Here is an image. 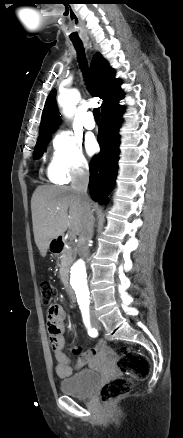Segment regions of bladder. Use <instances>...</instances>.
Segmentation results:
<instances>
[{
  "mask_svg": "<svg viewBox=\"0 0 183 438\" xmlns=\"http://www.w3.org/2000/svg\"><path fill=\"white\" fill-rule=\"evenodd\" d=\"M100 381V374L93 370H84L60 382L63 394L78 397H89Z\"/></svg>",
  "mask_w": 183,
  "mask_h": 438,
  "instance_id": "1",
  "label": "bladder"
}]
</instances>
